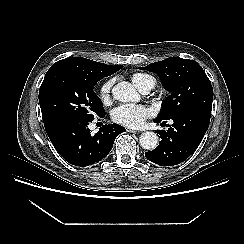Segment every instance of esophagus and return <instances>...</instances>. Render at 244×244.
Wrapping results in <instances>:
<instances>
[{
    "label": "esophagus",
    "instance_id": "34e87169",
    "mask_svg": "<svg viewBox=\"0 0 244 244\" xmlns=\"http://www.w3.org/2000/svg\"><path fill=\"white\" fill-rule=\"evenodd\" d=\"M127 132H130V133H139V131L133 130V129H127Z\"/></svg>",
    "mask_w": 244,
    "mask_h": 244
}]
</instances>
